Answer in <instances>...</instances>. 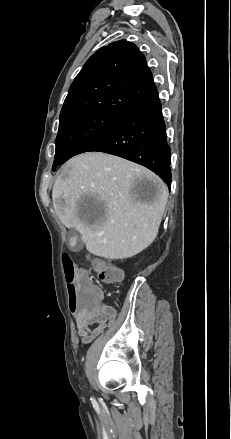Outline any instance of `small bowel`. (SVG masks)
<instances>
[{
  "label": "small bowel",
  "mask_w": 231,
  "mask_h": 439,
  "mask_svg": "<svg viewBox=\"0 0 231 439\" xmlns=\"http://www.w3.org/2000/svg\"><path fill=\"white\" fill-rule=\"evenodd\" d=\"M87 274V273H86ZM77 293H84V290L80 287L77 288ZM102 291H100L98 297V306L86 309L82 313H72L75 324L78 329V335L82 339V343L86 344L98 336L102 330L116 318V311L112 307H108L101 303ZM91 311L94 314L93 319L88 320L85 317L86 312ZM93 325H97L92 328Z\"/></svg>",
  "instance_id": "obj_1"
}]
</instances>
